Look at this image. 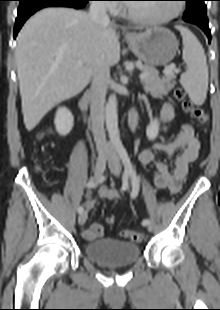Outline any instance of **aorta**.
Segmentation results:
<instances>
[{
    "mask_svg": "<svg viewBox=\"0 0 220 310\" xmlns=\"http://www.w3.org/2000/svg\"><path fill=\"white\" fill-rule=\"evenodd\" d=\"M105 120L109 138L115 149L122 148L118 129L117 98L111 94L105 107Z\"/></svg>",
    "mask_w": 220,
    "mask_h": 310,
    "instance_id": "1",
    "label": "aorta"
}]
</instances>
